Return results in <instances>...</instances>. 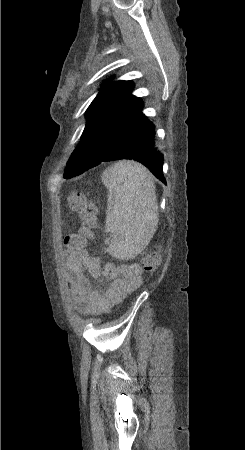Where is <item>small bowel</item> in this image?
<instances>
[{
  "label": "small bowel",
  "mask_w": 245,
  "mask_h": 450,
  "mask_svg": "<svg viewBox=\"0 0 245 450\" xmlns=\"http://www.w3.org/2000/svg\"><path fill=\"white\" fill-rule=\"evenodd\" d=\"M65 269L69 274L75 308L84 315L100 316L108 313L123 296L142 283V270L137 264L115 267L103 264L101 256H86L79 259L70 250L65 251ZM87 274L96 281L108 283L104 291L91 282Z\"/></svg>",
  "instance_id": "small-bowel-1"
}]
</instances>
